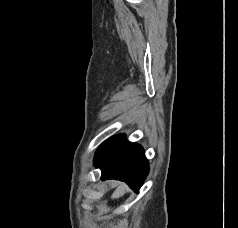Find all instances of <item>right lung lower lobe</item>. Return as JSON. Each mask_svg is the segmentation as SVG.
I'll return each instance as SVG.
<instances>
[{"label": "right lung lower lobe", "instance_id": "right-lung-lower-lobe-1", "mask_svg": "<svg viewBox=\"0 0 238 228\" xmlns=\"http://www.w3.org/2000/svg\"><path fill=\"white\" fill-rule=\"evenodd\" d=\"M94 165L102 170V180L118 179L138 192L149 172L143 148L125 140V135L111 137L98 148Z\"/></svg>", "mask_w": 238, "mask_h": 228}]
</instances>
